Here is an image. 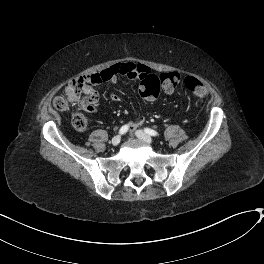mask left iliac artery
I'll return each mask as SVG.
<instances>
[{"instance_id":"44dca946","label":"left iliac artery","mask_w":264,"mask_h":264,"mask_svg":"<svg viewBox=\"0 0 264 264\" xmlns=\"http://www.w3.org/2000/svg\"><path fill=\"white\" fill-rule=\"evenodd\" d=\"M145 132L151 136H157L158 135V132L153 130V129H150V128H145Z\"/></svg>"}]
</instances>
